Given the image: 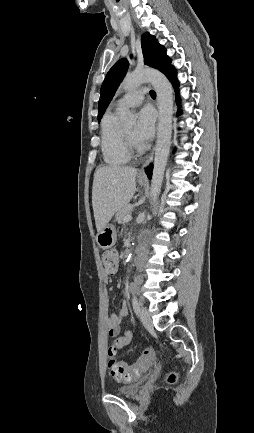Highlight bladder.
Masks as SVG:
<instances>
[{
    "label": "bladder",
    "mask_w": 254,
    "mask_h": 433,
    "mask_svg": "<svg viewBox=\"0 0 254 433\" xmlns=\"http://www.w3.org/2000/svg\"><path fill=\"white\" fill-rule=\"evenodd\" d=\"M140 389V382H136L130 385H125L116 388L115 392L119 396L123 397H133L135 396Z\"/></svg>",
    "instance_id": "1"
}]
</instances>
